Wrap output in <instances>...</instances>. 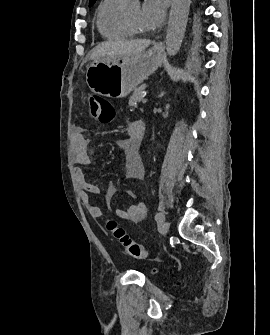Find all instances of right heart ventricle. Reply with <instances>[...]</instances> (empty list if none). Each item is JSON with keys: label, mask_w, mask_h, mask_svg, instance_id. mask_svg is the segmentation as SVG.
I'll list each match as a JSON object with an SVG mask.
<instances>
[{"label": "right heart ventricle", "mask_w": 270, "mask_h": 335, "mask_svg": "<svg viewBox=\"0 0 270 335\" xmlns=\"http://www.w3.org/2000/svg\"><path fill=\"white\" fill-rule=\"evenodd\" d=\"M126 0H103L96 13V26L98 32L107 39L119 40L133 36V33L123 22L121 9ZM145 78V77H138Z\"/></svg>", "instance_id": "1"}]
</instances>
